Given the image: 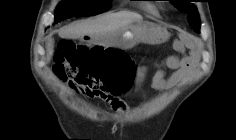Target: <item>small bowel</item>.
Masks as SVG:
<instances>
[{"mask_svg": "<svg viewBox=\"0 0 236 140\" xmlns=\"http://www.w3.org/2000/svg\"><path fill=\"white\" fill-rule=\"evenodd\" d=\"M174 48L179 53V55L169 56L152 66L153 75L151 79V85L155 89H170L180 84L194 71L195 62L191 57L185 54L184 44L178 41L174 44ZM167 70H172V73L167 75ZM147 71L148 68L142 69L143 74H145ZM110 104L114 111L126 112L128 110L127 104L121 99L110 102Z\"/></svg>", "mask_w": 236, "mask_h": 140, "instance_id": "c3829d8e", "label": "small bowel"}]
</instances>
